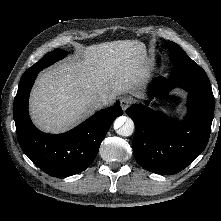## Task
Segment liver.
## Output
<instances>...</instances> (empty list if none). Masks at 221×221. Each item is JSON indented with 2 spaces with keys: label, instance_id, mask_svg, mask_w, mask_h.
Listing matches in <instances>:
<instances>
[{
  "label": "liver",
  "instance_id": "1",
  "mask_svg": "<svg viewBox=\"0 0 221 221\" xmlns=\"http://www.w3.org/2000/svg\"><path fill=\"white\" fill-rule=\"evenodd\" d=\"M148 76L146 48L138 40L91 45L70 62L43 72L30 97L34 124L47 133L65 132L92 115L96 99L141 96Z\"/></svg>",
  "mask_w": 221,
  "mask_h": 221
}]
</instances>
